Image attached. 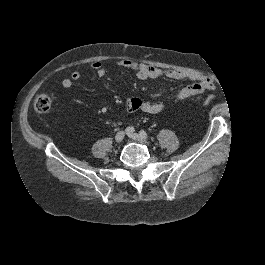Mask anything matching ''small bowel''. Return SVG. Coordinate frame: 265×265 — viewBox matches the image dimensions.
Here are the masks:
<instances>
[{
  "mask_svg": "<svg viewBox=\"0 0 265 265\" xmlns=\"http://www.w3.org/2000/svg\"><path fill=\"white\" fill-rule=\"evenodd\" d=\"M117 65L132 69L135 72L136 77L140 80L170 78L192 81L193 83L183 87L177 92L174 96L175 101H182L214 88L213 82L210 78L195 71L179 69L163 70L131 59L121 60L117 63ZM90 67L99 77H103L106 74L105 66L99 61L93 62ZM80 77L81 72L74 70L70 77L62 80V86L69 89L73 85V82L78 80ZM126 108L129 112L142 110L145 113L158 114L166 108V104L163 102L147 101L138 96H128L126 98Z\"/></svg>",
  "mask_w": 265,
  "mask_h": 265,
  "instance_id": "1",
  "label": "small bowel"
}]
</instances>
